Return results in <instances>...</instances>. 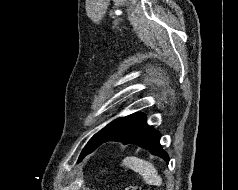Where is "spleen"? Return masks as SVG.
Listing matches in <instances>:
<instances>
[{"label": "spleen", "instance_id": "obj_1", "mask_svg": "<svg viewBox=\"0 0 238 190\" xmlns=\"http://www.w3.org/2000/svg\"><path fill=\"white\" fill-rule=\"evenodd\" d=\"M123 164L139 173L147 184L154 186L162 185V178L158 175L156 168L150 162L136 157H126L123 160Z\"/></svg>", "mask_w": 238, "mask_h": 190}]
</instances>
